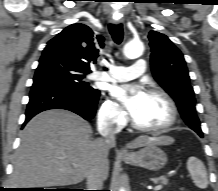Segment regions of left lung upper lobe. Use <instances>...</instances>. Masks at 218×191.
I'll list each match as a JSON object with an SVG mask.
<instances>
[{
	"label": "left lung upper lobe",
	"instance_id": "1",
	"mask_svg": "<svg viewBox=\"0 0 218 191\" xmlns=\"http://www.w3.org/2000/svg\"><path fill=\"white\" fill-rule=\"evenodd\" d=\"M151 68L155 80L176 101L186 124L203 137L196 115L195 97L181 51L164 34L150 31Z\"/></svg>",
	"mask_w": 218,
	"mask_h": 191
}]
</instances>
